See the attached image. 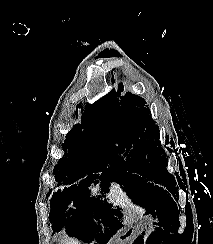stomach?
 I'll list each match as a JSON object with an SVG mask.
<instances>
[{"label": "stomach", "instance_id": "obj_1", "mask_svg": "<svg viewBox=\"0 0 213 244\" xmlns=\"http://www.w3.org/2000/svg\"><path fill=\"white\" fill-rule=\"evenodd\" d=\"M154 219L150 214L144 215L141 217L140 220L128 225L124 231L123 234L124 236H134L143 230L147 229V226L153 222ZM110 244H127L128 240L127 239H110L109 240Z\"/></svg>", "mask_w": 213, "mask_h": 244}]
</instances>
